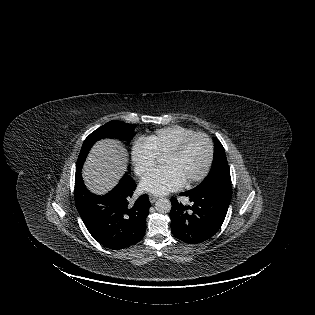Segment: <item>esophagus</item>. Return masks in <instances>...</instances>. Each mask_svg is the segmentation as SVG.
Segmentation results:
<instances>
[{
    "instance_id": "1",
    "label": "esophagus",
    "mask_w": 315,
    "mask_h": 315,
    "mask_svg": "<svg viewBox=\"0 0 315 315\" xmlns=\"http://www.w3.org/2000/svg\"><path fill=\"white\" fill-rule=\"evenodd\" d=\"M157 199H158V197H156L154 195H150L149 196V200H150L151 203H154Z\"/></svg>"
}]
</instances>
